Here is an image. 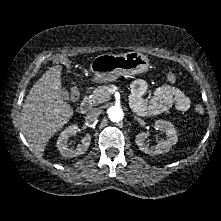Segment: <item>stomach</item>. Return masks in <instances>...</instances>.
I'll list each match as a JSON object with an SVG mask.
<instances>
[{"mask_svg":"<svg viewBox=\"0 0 221 221\" xmlns=\"http://www.w3.org/2000/svg\"><path fill=\"white\" fill-rule=\"evenodd\" d=\"M148 67V58L140 52L101 54L90 64L93 79L97 82H110L120 76L140 74L146 72Z\"/></svg>","mask_w":221,"mask_h":221,"instance_id":"1","label":"stomach"}]
</instances>
